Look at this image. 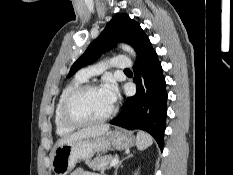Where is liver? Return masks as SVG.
I'll use <instances>...</instances> for the list:
<instances>
[{"mask_svg": "<svg viewBox=\"0 0 233 175\" xmlns=\"http://www.w3.org/2000/svg\"><path fill=\"white\" fill-rule=\"evenodd\" d=\"M110 126L108 124H101V125H97V126H92V127H88V128H84L82 130H79L71 135H68L64 138H61L58 143V145H62V144H67V143H71L75 140H79V139H84V138H95L98 136H102L103 134H105L106 132H108Z\"/></svg>", "mask_w": 233, "mask_h": 175, "instance_id": "6515ba94", "label": "liver"}]
</instances>
